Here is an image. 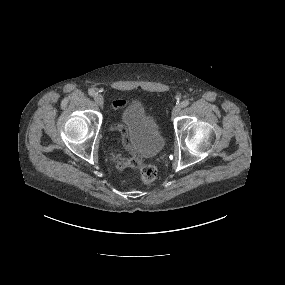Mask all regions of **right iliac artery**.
I'll return each instance as SVG.
<instances>
[{
  "mask_svg": "<svg viewBox=\"0 0 285 285\" xmlns=\"http://www.w3.org/2000/svg\"><path fill=\"white\" fill-rule=\"evenodd\" d=\"M88 93H89L90 96L96 95V92H95L93 89H90V90L88 91Z\"/></svg>",
  "mask_w": 285,
  "mask_h": 285,
  "instance_id": "1",
  "label": "right iliac artery"
}]
</instances>
